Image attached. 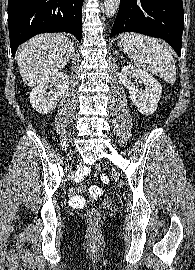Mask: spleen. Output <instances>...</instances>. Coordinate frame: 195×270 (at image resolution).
Instances as JSON below:
<instances>
[{"label": "spleen", "mask_w": 195, "mask_h": 270, "mask_svg": "<svg viewBox=\"0 0 195 270\" xmlns=\"http://www.w3.org/2000/svg\"><path fill=\"white\" fill-rule=\"evenodd\" d=\"M118 45L136 67L159 76L167 83H175V61L162 41L138 33H125Z\"/></svg>", "instance_id": "3e777b00"}]
</instances>
